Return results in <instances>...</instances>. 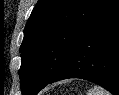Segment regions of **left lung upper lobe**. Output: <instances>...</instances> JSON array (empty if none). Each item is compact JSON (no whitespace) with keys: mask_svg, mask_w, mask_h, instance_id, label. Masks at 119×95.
<instances>
[{"mask_svg":"<svg viewBox=\"0 0 119 95\" xmlns=\"http://www.w3.org/2000/svg\"><path fill=\"white\" fill-rule=\"evenodd\" d=\"M118 0H39L24 29L22 95H34L64 67L82 36Z\"/></svg>","mask_w":119,"mask_h":95,"instance_id":"left-lung-upper-lobe-1","label":"left lung upper lobe"}]
</instances>
